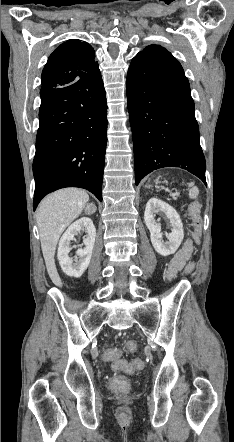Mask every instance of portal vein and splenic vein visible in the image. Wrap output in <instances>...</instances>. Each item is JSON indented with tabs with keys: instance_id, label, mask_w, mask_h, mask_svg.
I'll return each instance as SVG.
<instances>
[{
	"instance_id": "portal-vein-and-splenic-vein-1",
	"label": "portal vein and splenic vein",
	"mask_w": 234,
	"mask_h": 442,
	"mask_svg": "<svg viewBox=\"0 0 234 442\" xmlns=\"http://www.w3.org/2000/svg\"><path fill=\"white\" fill-rule=\"evenodd\" d=\"M170 194H171L172 197H176V196H178L180 194V192L175 191V192H170Z\"/></svg>"
}]
</instances>
